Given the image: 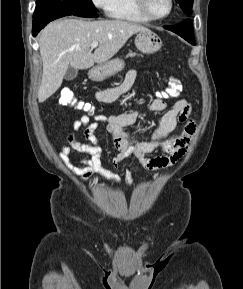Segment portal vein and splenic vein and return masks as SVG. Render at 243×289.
Here are the masks:
<instances>
[{
  "instance_id": "18ae733b",
  "label": "portal vein and splenic vein",
  "mask_w": 243,
  "mask_h": 289,
  "mask_svg": "<svg viewBox=\"0 0 243 289\" xmlns=\"http://www.w3.org/2000/svg\"><path fill=\"white\" fill-rule=\"evenodd\" d=\"M91 48H96L98 46V42L94 41L90 44Z\"/></svg>"
}]
</instances>
